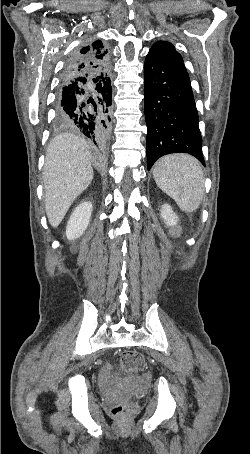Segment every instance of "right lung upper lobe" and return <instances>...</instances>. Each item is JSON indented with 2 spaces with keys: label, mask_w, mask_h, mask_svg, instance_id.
Instances as JSON below:
<instances>
[{
  "label": "right lung upper lobe",
  "mask_w": 250,
  "mask_h": 454,
  "mask_svg": "<svg viewBox=\"0 0 250 454\" xmlns=\"http://www.w3.org/2000/svg\"><path fill=\"white\" fill-rule=\"evenodd\" d=\"M104 48L105 45L100 40L91 42L89 48H84L81 51L80 58L66 66L64 75H76L85 70H91L93 73L99 74L101 71L109 70V53L106 59V53L101 52Z\"/></svg>",
  "instance_id": "obj_1"
}]
</instances>
